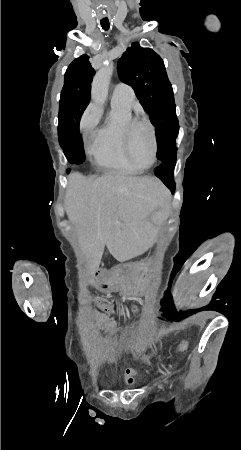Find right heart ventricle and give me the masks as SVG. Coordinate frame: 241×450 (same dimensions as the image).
Returning a JSON list of instances; mask_svg holds the SVG:
<instances>
[{
    "instance_id": "1",
    "label": "right heart ventricle",
    "mask_w": 241,
    "mask_h": 450,
    "mask_svg": "<svg viewBox=\"0 0 241 450\" xmlns=\"http://www.w3.org/2000/svg\"><path fill=\"white\" fill-rule=\"evenodd\" d=\"M130 117H132L130 104L113 101L112 113L107 122L98 126L97 130H84L87 151L98 166L126 170L134 165L136 157L131 158V162H126L125 153H122L121 149L122 143L119 141L123 135L121 126Z\"/></svg>"
}]
</instances>
